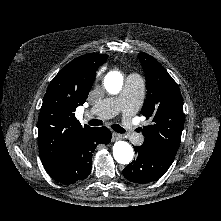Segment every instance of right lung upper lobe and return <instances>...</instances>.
<instances>
[{
    "instance_id": "obj_1",
    "label": "right lung upper lobe",
    "mask_w": 221,
    "mask_h": 221,
    "mask_svg": "<svg viewBox=\"0 0 221 221\" xmlns=\"http://www.w3.org/2000/svg\"><path fill=\"white\" fill-rule=\"evenodd\" d=\"M107 58L106 54L77 57L47 88L38 118V139L41 161L51 177L60 171L75 138L90 128L82 127L74 112L86 101L96 70Z\"/></svg>"
}]
</instances>
